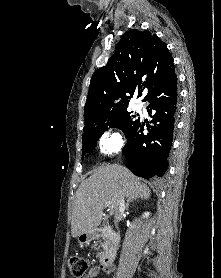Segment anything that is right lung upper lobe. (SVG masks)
<instances>
[{
  "instance_id": "cb5924a9",
  "label": "right lung upper lobe",
  "mask_w": 221,
  "mask_h": 278,
  "mask_svg": "<svg viewBox=\"0 0 221 278\" xmlns=\"http://www.w3.org/2000/svg\"><path fill=\"white\" fill-rule=\"evenodd\" d=\"M175 71L173 58L156 34L129 30L107 64L92 75L84 108L85 122L128 107L138 97L166 80Z\"/></svg>"
}]
</instances>
